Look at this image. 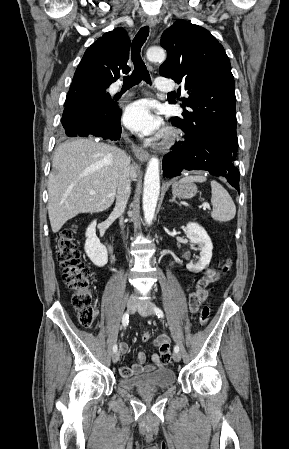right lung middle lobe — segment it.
<instances>
[{
  "instance_id": "dd1d6c3e",
  "label": "right lung middle lobe",
  "mask_w": 289,
  "mask_h": 449,
  "mask_svg": "<svg viewBox=\"0 0 289 449\" xmlns=\"http://www.w3.org/2000/svg\"><path fill=\"white\" fill-rule=\"evenodd\" d=\"M112 99L108 93H106V88L100 89L91 105L88 115L98 116L103 115L106 110L111 106Z\"/></svg>"
}]
</instances>
